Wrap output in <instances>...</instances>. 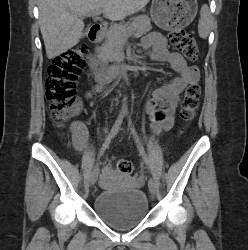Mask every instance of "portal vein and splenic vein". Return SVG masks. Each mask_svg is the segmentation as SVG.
<instances>
[{
	"mask_svg": "<svg viewBox=\"0 0 248 250\" xmlns=\"http://www.w3.org/2000/svg\"><path fill=\"white\" fill-rule=\"evenodd\" d=\"M102 13H103V11L100 10V9H98V10L94 11V12L92 13V15L95 16V17H97V16H100ZM131 34H132L131 31L128 32V33L125 32V36L131 35Z\"/></svg>",
	"mask_w": 248,
	"mask_h": 250,
	"instance_id": "portal-vein-and-splenic-vein-1",
	"label": "portal vein and splenic vein"
}]
</instances>
